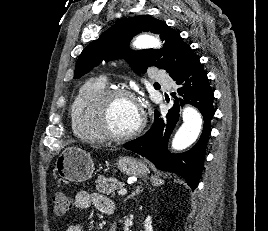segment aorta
Here are the masks:
<instances>
[{
	"label": "aorta",
	"mask_w": 268,
	"mask_h": 231,
	"mask_svg": "<svg viewBox=\"0 0 268 231\" xmlns=\"http://www.w3.org/2000/svg\"><path fill=\"white\" fill-rule=\"evenodd\" d=\"M133 45L138 49L160 48L161 42L154 36L142 35L135 40ZM182 118L183 124L177 130L172 140V148L175 150H183L193 144L198 138L202 128L201 115L193 107H185Z\"/></svg>",
	"instance_id": "762f6f07"
}]
</instances>
